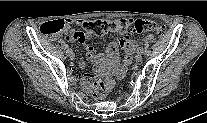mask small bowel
<instances>
[{
  "label": "small bowel",
  "instance_id": "obj_1",
  "mask_svg": "<svg viewBox=\"0 0 207 123\" xmlns=\"http://www.w3.org/2000/svg\"><path fill=\"white\" fill-rule=\"evenodd\" d=\"M64 26L61 30L62 34L66 36V39L71 42H78L82 44L86 55L89 59H97L99 61H103L105 58L102 54H99L96 52V50L89 44L86 43L87 36L82 32H74L71 29V21H63ZM77 24H80V21L76 22ZM110 32H121L122 28L118 24V20L113 21V25L111 26ZM122 48L124 50V59L121 66H118V46L115 42H110L107 45L106 49V60L110 64V66L117 71L119 75H123L128 66L131 63L132 55L136 49V43L132 40H125L124 44L122 45ZM87 65L86 61L81 60L79 62V66L81 68H85Z\"/></svg>",
  "mask_w": 207,
  "mask_h": 123
}]
</instances>
